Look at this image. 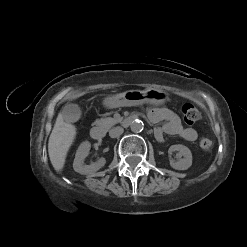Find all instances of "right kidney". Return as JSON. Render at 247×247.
I'll return each mask as SVG.
<instances>
[{
  "mask_svg": "<svg viewBox=\"0 0 247 247\" xmlns=\"http://www.w3.org/2000/svg\"><path fill=\"white\" fill-rule=\"evenodd\" d=\"M90 147L91 145L88 141L81 143L75 155L73 168L76 172L83 175H90L95 173L106 163L105 158H100L97 162H94L90 165H84V159L88 156Z\"/></svg>",
  "mask_w": 247,
  "mask_h": 247,
  "instance_id": "right-kidney-1",
  "label": "right kidney"
}]
</instances>
